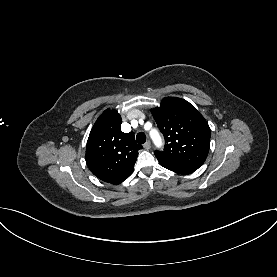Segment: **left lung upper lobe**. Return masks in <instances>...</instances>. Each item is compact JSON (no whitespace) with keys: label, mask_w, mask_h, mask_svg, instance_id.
Returning a JSON list of instances; mask_svg holds the SVG:
<instances>
[{"label":"left lung upper lobe","mask_w":277,"mask_h":277,"mask_svg":"<svg viewBox=\"0 0 277 277\" xmlns=\"http://www.w3.org/2000/svg\"><path fill=\"white\" fill-rule=\"evenodd\" d=\"M153 117L165 138L164 151H155L161 166L180 174L197 170L206 160L210 128L204 117L184 99L166 97Z\"/></svg>","instance_id":"left-lung-upper-lobe-1"}]
</instances>
